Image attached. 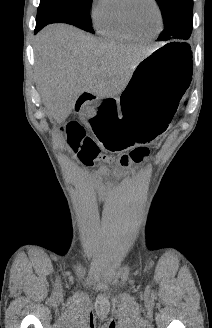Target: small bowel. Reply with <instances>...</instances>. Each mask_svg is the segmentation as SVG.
<instances>
[{
    "mask_svg": "<svg viewBox=\"0 0 212 328\" xmlns=\"http://www.w3.org/2000/svg\"><path fill=\"white\" fill-rule=\"evenodd\" d=\"M135 164H138V163H135ZM109 173H113L115 175H120V173L117 170H109L108 173H99V171L97 170L92 175V180L95 183V189L97 191L100 201H103L104 196L107 193H111L113 190V184L111 182L102 181V177Z\"/></svg>",
    "mask_w": 212,
    "mask_h": 328,
    "instance_id": "obj_1",
    "label": "small bowel"
}]
</instances>
